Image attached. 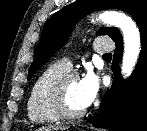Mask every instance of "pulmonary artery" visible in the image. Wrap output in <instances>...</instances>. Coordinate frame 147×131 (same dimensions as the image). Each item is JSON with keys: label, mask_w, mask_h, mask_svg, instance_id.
<instances>
[{"label": "pulmonary artery", "mask_w": 147, "mask_h": 131, "mask_svg": "<svg viewBox=\"0 0 147 131\" xmlns=\"http://www.w3.org/2000/svg\"><path fill=\"white\" fill-rule=\"evenodd\" d=\"M113 47V43L108 39H97L93 44L94 51L99 54L110 52ZM61 63L68 69L72 67V63L68 59L62 60Z\"/></svg>", "instance_id": "e3ab8cb5"}]
</instances>
